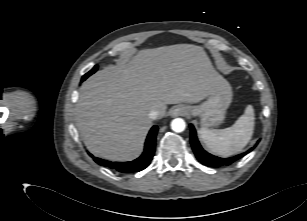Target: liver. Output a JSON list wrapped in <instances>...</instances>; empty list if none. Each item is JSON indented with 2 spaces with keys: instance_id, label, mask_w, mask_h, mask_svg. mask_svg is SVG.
<instances>
[{
  "instance_id": "liver-1",
  "label": "liver",
  "mask_w": 307,
  "mask_h": 221,
  "mask_svg": "<svg viewBox=\"0 0 307 221\" xmlns=\"http://www.w3.org/2000/svg\"><path fill=\"white\" fill-rule=\"evenodd\" d=\"M224 80L202 47L177 44L138 52L128 62L97 72L81 87L77 127L88 150L113 161L141 151L152 126L149 112L168 104L197 103Z\"/></svg>"
}]
</instances>
